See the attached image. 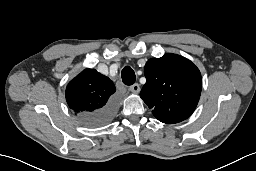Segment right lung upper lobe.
I'll return each instance as SVG.
<instances>
[{"label":"right lung upper lobe","mask_w":256,"mask_h":171,"mask_svg":"<svg viewBox=\"0 0 256 171\" xmlns=\"http://www.w3.org/2000/svg\"><path fill=\"white\" fill-rule=\"evenodd\" d=\"M115 91L108 77L87 68L69 82L65 95L69 107L83 119L104 108L114 99Z\"/></svg>","instance_id":"cb5924a9"}]
</instances>
